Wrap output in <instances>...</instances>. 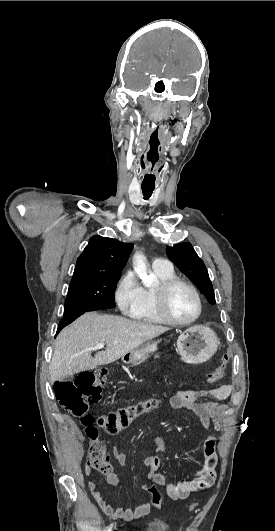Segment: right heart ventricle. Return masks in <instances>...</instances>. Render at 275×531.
<instances>
[{
    "instance_id": "obj_1",
    "label": "right heart ventricle",
    "mask_w": 275,
    "mask_h": 531,
    "mask_svg": "<svg viewBox=\"0 0 275 531\" xmlns=\"http://www.w3.org/2000/svg\"><path fill=\"white\" fill-rule=\"evenodd\" d=\"M160 281L175 277L173 271H156ZM155 289V288H154ZM154 289L143 290V305L133 318L145 323H165L157 310Z\"/></svg>"
}]
</instances>
